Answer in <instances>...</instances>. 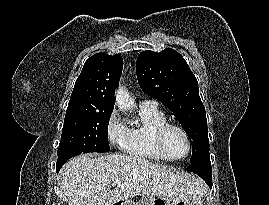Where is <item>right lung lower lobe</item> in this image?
<instances>
[{"label": "right lung lower lobe", "mask_w": 269, "mask_h": 205, "mask_svg": "<svg viewBox=\"0 0 269 205\" xmlns=\"http://www.w3.org/2000/svg\"><path fill=\"white\" fill-rule=\"evenodd\" d=\"M81 153H85V152L69 150V151H64L61 154H59L58 160H57L56 171L58 172L68 159H70L73 156L79 155Z\"/></svg>", "instance_id": "right-lung-lower-lobe-1"}]
</instances>
